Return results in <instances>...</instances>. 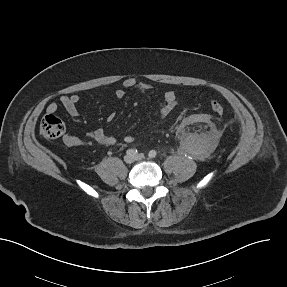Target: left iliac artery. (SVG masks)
I'll return each mask as SVG.
<instances>
[{"mask_svg":"<svg viewBox=\"0 0 287 287\" xmlns=\"http://www.w3.org/2000/svg\"><path fill=\"white\" fill-rule=\"evenodd\" d=\"M156 155H157V152H156L155 150H151V151H149V153H148V156H149L150 158H155Z\"/></svg>","mask_w":287,"mask_h":287,"instance_id":"44dca946","label":"left iliac artery"}]
</instances>
